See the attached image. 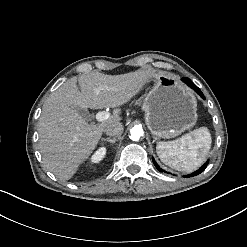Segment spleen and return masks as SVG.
<instances>
[{
	"label": "spleen",
	"mask_w": 247,
	"mask_h": 247,
	"mask_svg": "<svg viewBox=\"0 0 247 247\" xmlns=\"http://www.w3.org/2000/svg\"><path fill=\"white\" fill-rule=\"evenodd\" d=\"M211 134L207 127H200L175 141L159 142L156 150L160 160L178 170L192 172L206 160L211 147ZM169 147H173L171 151Z\"/></svg>",
	"instance_id": "1"
}]
</instances>
